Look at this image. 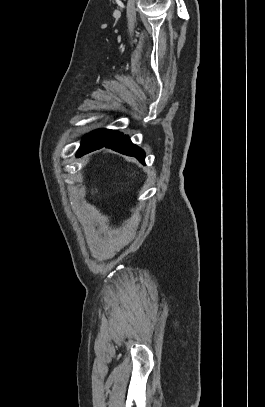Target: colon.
<instances>
[{
    "mask_svg": "<svg viewBox=\"0 0 265 407\" xmlns=\"http://www.w3.org/2000/svg\"><path fill=\"white\" fill-rule=\"evenodd\" d=\"M100 193V187H96L92 189L91 195L92 196H97Z\"/></svg>",
    "mask_w": 265,
    "mask_h": 407,
    "instance_id": "obj_1",
    "label": "colon"
}]
</instances>
